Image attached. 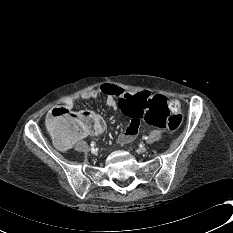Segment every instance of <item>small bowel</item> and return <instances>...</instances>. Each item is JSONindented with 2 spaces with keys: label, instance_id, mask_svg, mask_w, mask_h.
<instances>
[{
  "label": "small bowel",
  "instance_id": "obj_1",
  "mask_svg": "<svg viewBox=\"0 0 233 233\" xmlns=\"http://www.w3.org/2000/svg\"><path fill=\"white\" fill-rule=\"evenodd\" d=\"M126 92L127 91L118 87L117 85L104 84V85L100 86L99 88H96L94 90L87 91V92L83 93L82 98L88 100V99L97 98L100 95H104L106 97L107 105L110 108L116 109L117 108V101L116 100L119 99L120 96ZM166 100H167L168 104L171 103L172 101H175V100H170L167 98H166ZM64 105L70 109L74 108V103H73L72 99L65 100ZM140 118H138V119L130 118V122H129L128 127L121 135H119V137L117 139L119 144H122V145L128 144L136 138V136L139 133V129H140ZM80 138H82V137H56V145L61 150H68Z\"/></svg>",
  "mask_w": 233,
  "mask_h": 233
}]
</instances>
